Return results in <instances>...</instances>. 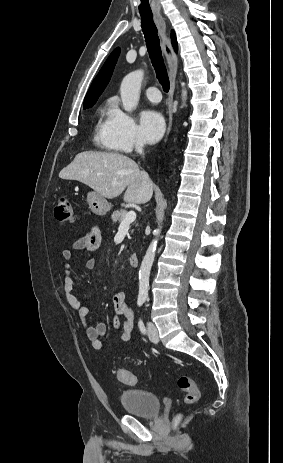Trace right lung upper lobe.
<instances>
[{
  "label": "right lung upper lobe",
  "mask_w": 283,
  "mask_h": 463,
  "mask_svg": "<svg viewBox=\"0 0 283 463\" xmlns=\"http://www.w3.org/2000/svg\"><path fill=\"white\" fill-rule=\"evenodd\" d=\"M171 37H172L173 47H174L175 51H177V42H176L174 32H172ZM119 54H120V48H116L110 54V56L108 57V59L104 63L103 67L99 71L98 75L93 80L92 85H91L88 93L86 94V97H85V100H84V106L85 105L95 104V102L97 101L99 95L103 92V90L105 89L106 85L108 84V82H109V80L111 78V75H112L114 66H115V64L117 62V59L119 57Z\"/></svg>",
  "instance_id": "right-lung-upper-lobe-1"
}]
</instances>
